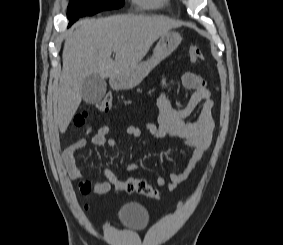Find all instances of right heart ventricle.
I'll return each instance as SVG.
<instances>
[{"label":"right heart ventricle","mask_w":283,"mask_h":245,"mask_svg":"<svg viewBox=\"0 0 283 245\" xmlns=\"http://www.w3.org/2000/svg\"><path fill=\"white\" fill-rule=\"evenodd\" d=\"M132 2L144 10H160L169 6V0H132Z\"/></svg>","instance_id":"obj_1"}]
</instances>
